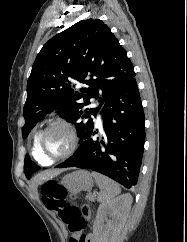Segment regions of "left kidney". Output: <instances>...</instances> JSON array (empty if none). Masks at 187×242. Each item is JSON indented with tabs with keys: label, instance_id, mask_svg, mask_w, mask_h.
<instances>
[{
	"label": "left kidney",
	"instance_id": "1",
	"mask_svg": "<svg viewBox=\"0 0 187 242\" xmlns=\"http://www.w3.org/2000/svg\"><path fill=\"white\" fill-rule=\"evenodd\" d=\"M132 201L130 194H124L98 207L93 225L96 242H116L128 217Z\"/></svg>",
	"mask_w": 187,
	"mask_h": 242
}]
</instances>
